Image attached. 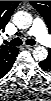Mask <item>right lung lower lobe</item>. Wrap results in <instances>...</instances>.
I'll return each mask as SVG.
<instances>
[{
    "instance_id": "right-lung-lower-lobe-1",
    "label": "right lung lower lobe",
    "mask_w": 51,
    "mask_h": 101,
    "mask_svg": "<svg viewBox=\"0 0 51 101\" xmlns=\"http://www.w3.org/2000/svg\"><path fill=\"white\" fill-rule=\"evenodd\" d=\"M14 61L15 60H13V62L10 65H8V67H6L5 69H3V71H1V76H4L5 74H7L10 71V69L12 68V65H13Z\"/></svg>"
}]
</instances>
